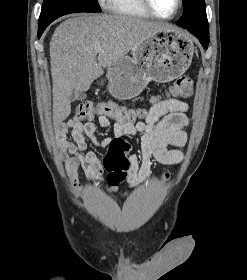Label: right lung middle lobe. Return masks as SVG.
Returning a JSON list of instances; mask_svg holds the SVG:
<instances>
[{
	"mask_svg": "<svg viewBox=\"0 0 247 280\" xmlns=\"http://www.w3.org/2000/svg\"><path fill=\"white\" fill-rule=\"evenodd\" d=\"M96 0H44L38 26H48L60 16L76 12H100Z\"/></svg>",
	"mask_w": 247,
	"mask_h": 280,
	"instance_id": "1",
	"label": "right lung middle lobe"
}]
</instances>
